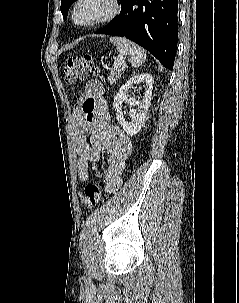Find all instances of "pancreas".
<instances>
[{"label": "pancreas", "mask_w": 239, "mask_h": 303, "mask_svg": "<svg viewBox=\"0 0 239 303\" xmlns=\"http://www.w3.org/2000/svg\"><path fill=\"white\" fill-rule=\"evenodd\" d=\"M126 67L127 66L125 63H120L119 65L114 66V68L111 70V73L107 76L109 83H116L121 77L122 73L125 71Z\"/></svg>", "instance_id": "1"}]
</instances>
